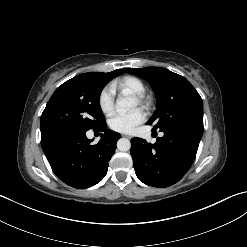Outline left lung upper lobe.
<instances>
[{
    "label": "left lung upper lobe",
    "instance_id": "obj_1",
    "mask_svg": "<svg viewBox=\"0 0 247 247\" xmlns=\"http://www.w3.org/2000/svg\"><path fill=\"white\" fill-rule=\"evenodd\" d=\"M124 71L146 79L154 89L156 110L146 124L161 130L183 123L203 131L202 98L183 76L160 67Z\"/></svg>",
    "mask_w": 247,
    "mask_h": 247
}]
</instances>
